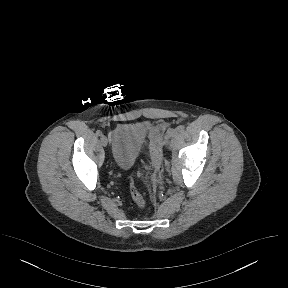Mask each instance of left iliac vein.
Masks as SVG:
<instances>
[{
  "label": "left iliac vein",
  "instance_id": "left-iliac-vein-1",
  "mask_svg": "<svg viewBox=\"0 0 288 288\" xmlns=\"http://www.w3.org/2000/svg\"><path fill=\"white\" fill-rule=\"evenodd\" d=\"M175 133H176L175 130H171V131L168 132L167 137H168V138H169V137H172Z\"/></svg>",
  "mask_w": 288,
  "mask_h": 288
}]
</instances>
